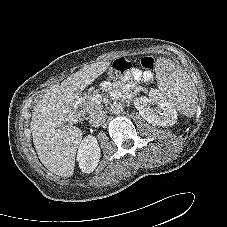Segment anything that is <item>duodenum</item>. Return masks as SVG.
Segmentation results:
<instances>
[{
  "instance_id": "obj_1",
  "label": "duodenum",
  "mask_w": 227,
  "mask_h": 227,
  "mask_svg": "<svg viewBox=\"0 0 227 227\" xmlns=\"http://www.w3.org/2000/svg\"><path fill=\"white\" fill-rule=\"evenodd\" d=\"M73 119H77V114L72 115Z\"/></svg>"
}]
</instances>
